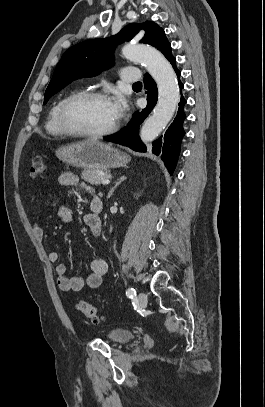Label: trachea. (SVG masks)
Here are the masks:
<instances>
[{
    "label": "trachea",
    "instance_id": "trachea-1",
    "mask_svg": "<svg viewBox=\"0 0 265 407\" xmlns=\"http://www.w3.org/2000/svg\"><path fill=\"white\" fill-rule=\"evenodd\" d=\"M139 85H142V83H141V82H138V83H134V84H133V86H139Z\"/></svg>",
    "mask_w": 265,
    "mask_h": 407
}]
</instances>
